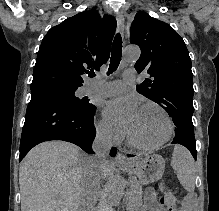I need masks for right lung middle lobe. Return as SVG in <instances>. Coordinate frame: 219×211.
I'll return each mask as SVG.
<instances>
[{
  "label": "right lung middle lobe",
  "instance_id": "dd1d6c3e",
  "mask_svg": "<svg viewBox=\"0 0 219 211\" xmlns=\"http://www.w3.org/2000/svg\"><path fill=\"white\" fill-rule=\"evenodd\" d=\"M41 89L53 90L61 95L66 101H68L71 105L75 106L79 109H90L95 107L93 104L89 103V100L79 99L74 93L77 90V87H70L64 85H49L45 86Z\"/></svg>",
  "mask_w": 219,
  "mask_h": 211
}]
</instances>
